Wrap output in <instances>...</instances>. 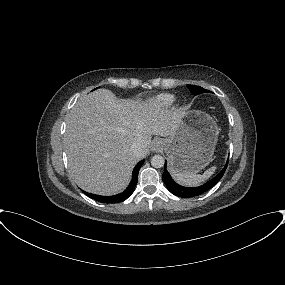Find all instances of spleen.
Returning <instances> with one entry per match:
<instances>
[{
    "mask_svg": "<svg viewBox=\"0 0 285 285\" xmlns=\"http://www.w3.org/2000/svg\"><path fill=\"white\" fill-rule=\"evenodd\" d=\"M216 167L213 166L206 170L202 175L195 173H176L172 174L173 178L181 185L184 186H197L200 183L207 180L209 177L213 175Z\"/></svg>",
    "mask_w": 285,
    "mask_h": 285,
    "instance_id": "obj_1",
    "label": "spleen"
}]
</instances>
